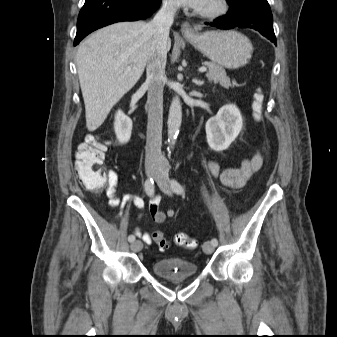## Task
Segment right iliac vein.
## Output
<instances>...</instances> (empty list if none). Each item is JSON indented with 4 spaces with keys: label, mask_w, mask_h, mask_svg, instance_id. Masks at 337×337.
Returning a JSON list of instances; mask_svg holds the SVG:
<instances>
[{
    "label": "right iliac vein",
    "mask_w": 337,
    "mask_h": 337,
    "mask_svg": "<svg viewBox=\"0 0 337 337\" xmlns=\"http://www.w3.org/2000/svg\"><path fill=\"white\" fill-rule=\"evenodd\" d=\"M146 172L148 176H153L155 177L156 174L158 173V167L155 164H149L146 167ZM142 249V242L139 240L133 241L131 243V250L134 252H138Z\"/></svg>",
    "instance_id": "right-iliac-vein-1"
}]
</instances>
